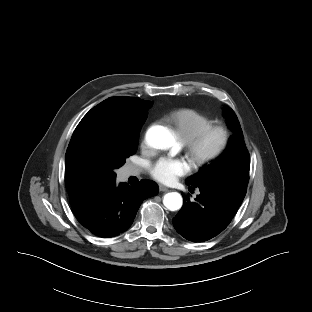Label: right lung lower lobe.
I'll use <instances>...</instances> for the list:
<instances>
[{"label": "right lung lower lobe", "mask_w": 312, "mask_h": 312, "mask_svg": "<svg viewBox=\"0 0 312 312\" xmlns=\"http://www.w3.org/2000/svg\"><path fill=\"white\" fill-rule=\"evenodd\" d=\"M155 182L142 180L135 186L112 181L73 210L77 220L99 237H113L127 230L141 203L157 195Z\"/></svg>", "instance_id": "1"}]
</instances>
